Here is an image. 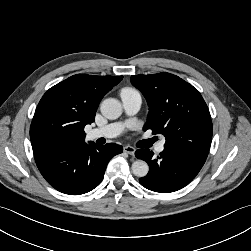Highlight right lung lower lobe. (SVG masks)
Returning a JSON list of instances; mask_svg holds the SVG:
<instances>
[{"label":"right lung lower lobe","mask_w":251,"mask_h":251,"mask_svg":"<svg viewBox=\"0 0 251 251\" xmlns=\"http://www.w3.org/2000/svg\"><path fill=\"white\" fill-rule=\"evenodd\" d=\"M123 147L115 143L104 146L94 142L34 151L39 171L56 190L70 195L87 193L97 187L108 162Z\"/></svg>","instance_id":"1"}]
</instances>
